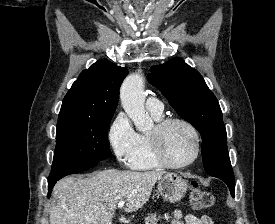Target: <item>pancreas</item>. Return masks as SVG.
Segmentation results:
<instances>
[{
    "mask_svg": "<svg viewBox=\"0 0 275 224\" xmlns=\"http://www.w3.org/2000/svg\"><path fill=\"white\" fill-rule=\"evenodd\" d=\"M159 221L160 217H157L156 213H151L144 219V224H158Z\"/></svg>",
    "mask_w": 275,
    "mask_h": 224,
    "instance_id": "cf45deb5",
    "label": "pancreas"
}]
</instances>
